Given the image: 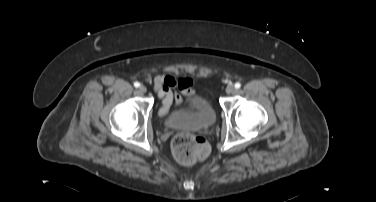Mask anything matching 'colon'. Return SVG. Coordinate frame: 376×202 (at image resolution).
<instances>
[{
	"label": "colon",
	"instance_id": "5ec220e1",
	"mask_svg": "<svg viewBox=\"0 0 376 202\" xmlns=\"http://www.w3.org/2000/svg\"><path fill=\"white\" fill-rule=\"evenodd\" d=\"M174 158L182 164L201 162L209 155V145L200 136L180 133L172 140Z\"/></svg>",
	"mask_w": 376,
	"mask_h": 202
}]
</instances>
